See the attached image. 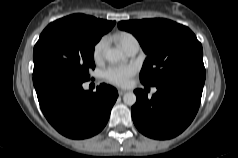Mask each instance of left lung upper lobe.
Listing matches in <instances>:
<instances>
[{
	"label": "left lung upper lobe",
	"mask_w": 238,
	"mask_h": 158,
	"mask_svg": "<svg viewBox=\"0 0 238 158\" xmlns=\"http://www.w3.org/2000/svg\"><path fill=\"white\" fill-rule=\"evenodd\" d=\"M131 32L148 55L140 72L145 86L190 70H205L201 43L186 26L167 19L129 20L118 23Z\"/></svg>",
	"instance_id": "5c2ea615"
}]
</instances>
